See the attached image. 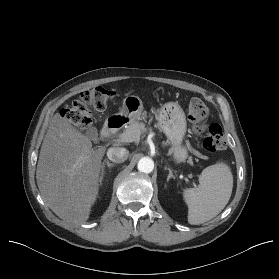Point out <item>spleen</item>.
Segmentation results:
<instances>
[{
  "mask_svg": "<svg viewBox=\"0 0 279 279\" xmlns=\"http://www.w3.org/2000/svg\"><path fill=\"white\" fill-rule=\"evenodd\" d=\"M198 188L183 192L188 206V222L199 225L216 217L227 205L233 189V175L223 161L206 167L199 176Z\"/></svg>",
  "mask_w": 279,
  "mask_h": 279,
  "instance_id": "3e777b00",
  "label": "spleen"
}]
</instances>
